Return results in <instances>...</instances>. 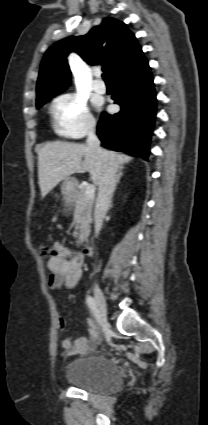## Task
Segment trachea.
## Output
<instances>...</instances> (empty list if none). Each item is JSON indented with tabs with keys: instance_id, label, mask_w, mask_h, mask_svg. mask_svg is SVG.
Segmentation results:
<instances>
[{
	"instance_id": "1",
	"label": "trachea",
	"mask_w": 208,
	"mask_h": 425,
	"mask_svg": "<svg viewBox=\"0 0 208 425\" xmlns=\"http://www.w3.org/2000/svg\"><path fill=\"white\" fill-rule=\"evenodd\" d=\"M102 78L105 82H110V79L107 77V74L103 73Z\"/></svg>"
}]
</instances>
